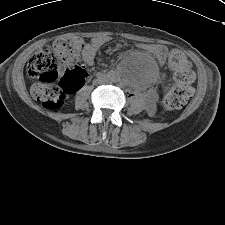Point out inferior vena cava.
Wrapping results in <instances>:
<instances>
[{
	"label": "inferior vena cava",
	"mask_w": 225,
	"mask_h": 225,
	"mask_svg": "<svg viewBox=\"0 0 225 225\" xmlns=\"http://www.w3.org/2000/svg\"><path fill=\"white\" fill-rule=\"evenodd\" d=\"M106 82H107V78H105V77H98V79H97L98 84H104Z\"/></svg>",
	"instance_id": "602c4592"
}]
</instances>
